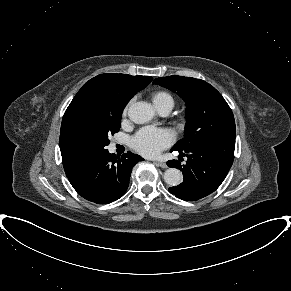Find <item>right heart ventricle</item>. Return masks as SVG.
I'll return each mask as SVG.
<instances>
[{"label": "right heart ventricle", "instance_id": "1", "mask_svg": "<svg viewBox=\"0 0 291 291\" xmlns=\"http://www.w3.org/2000/svg\"><path fill=\"white\" fill-rule=\"evenodd\" d=\"M151 98L157 110L165 107L172 109L174 106V99L172 95L166 91H156L152 94Z\"/></svg>", "mask_w": 291, "mask_h": 291}]
</instances>
